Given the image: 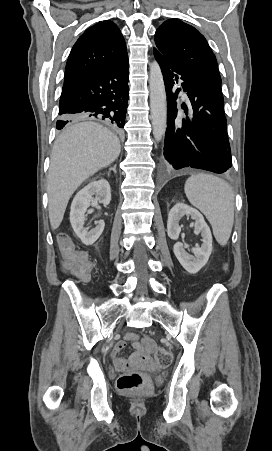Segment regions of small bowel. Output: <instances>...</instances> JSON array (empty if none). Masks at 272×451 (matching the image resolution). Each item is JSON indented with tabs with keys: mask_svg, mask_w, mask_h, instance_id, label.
<instances>
[{
	"mask_svg": "<svg viewBox=\"0 0 272 451\" xmlns=\"http://www.w3.org/2000/svg\"><path fill=\"white\" fill-rule=\"evenodd\" d=\"M151 339L147 336L140 338L138 334L133 333V332H127L124 335V340L123 341H118L114 344L113 348L110 351V356L112 354V352H119L116 349L117 344L122 343L124 344L125 348L128 345H131L133 348H143V346L146 344L147 340ZM116 367V366H115Z\"/></svg>",
	"mask_w": 272,
	"mask_h": 451,
	"instance_id": "1",
	"label": "small bowel"
}]
</instances>
